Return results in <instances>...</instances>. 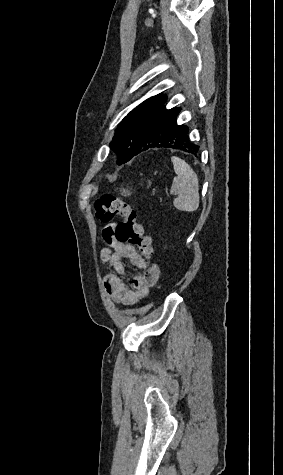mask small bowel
<instances>
[{
    "instance_id": "1",
    "label": "small bowel",
    "mask_w": 283,
    "mask_h": 475,
    "mask_svg": "<svg viewBox=\"0 0 283 475\" xmlns=\"http://www.w3.org/2000/svg\"><path fill=\"white\" fill-rule=\"evenodd\" d=\"M118 222L116 219H106L102 225L101 242L107 244L100 251V259L110 270L104 274L103 283L108 296L123 306H132L144 298L151 287L159 280L160 267L154 263L152 271H143L132 278L131 284H126L122 277L126 275L123 259L130 260L140 269V254L129 243L115 240Z\"/></svg>"
}]
</instances>
